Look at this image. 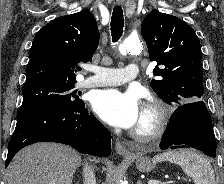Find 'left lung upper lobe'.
<instances>
[{"mask_svg":"<svg viewBox=\"0 0 224 184\" xmlns=\"http://www.w3.org/2000/svg\"><path fill=\"white\" fill-rule=\"evenodd\" d=\"M149 58L157 65L151 88L166 103L179 106L202 100L201 45L195 31L178 17L150 12L142 22Z\"/></svg>","mask_w":224,"mask_h":184,"instance_id":"5c2ea615","label":"left lung upper lobe"}]
</instances>
